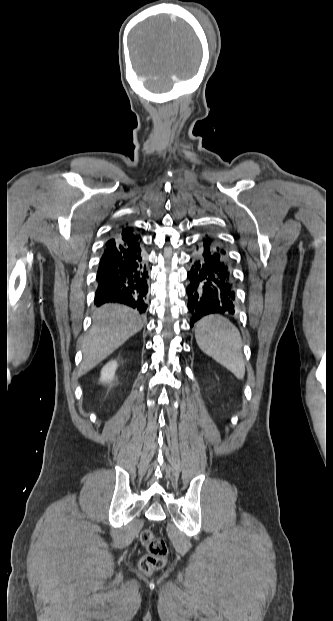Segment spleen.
<instances>
[{
	"label": "spleen",
	"mask_w": 333,
	"mask_h": 621,
	"mask_svg": "<svg viewBox=\"0 0 333 621\" xmlns=\"http://www.w3.org/2000/svg\"><path fill=\"white\" fill-rule=\"evenodd\" d=\"M199 348L216 362L231 371L236 378L245 376L242 340L239 330L226 318L209 315L195 328Z\"/></svg>",
	"instance_id": "spleen-1"
}]
</instances>
